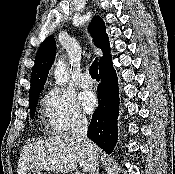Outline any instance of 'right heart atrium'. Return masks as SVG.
Returning a JSON list of instances; mask_svg holds the SVG:
<instances>
[{"label": "right heart atrium", "instance_id": "1", "mask_svg": "<svg viewBox=\"0 0 175 174\" xmlns=\"http://www.w3.org/2000/svg\"><path fill=\"white\" fill-rule=\"evenodd\" d=\"M47 129L66 134L84 128L88 120L73 95L60 88L48 91L43 98Z\"/></svg>", "mask_w": 175, "mask_h": 174}]
</instances>
